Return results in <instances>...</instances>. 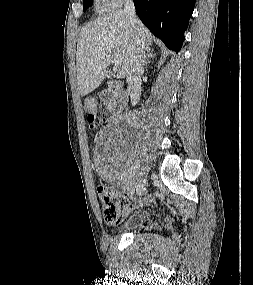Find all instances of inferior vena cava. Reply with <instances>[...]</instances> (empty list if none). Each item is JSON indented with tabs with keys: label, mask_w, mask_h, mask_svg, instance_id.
Returning <instances> with one entry per match:
<instances>
[{
	"label": "inferior vena cava",
	"mask_w": 253,
	"mask_h": 285,
	"mask_svg": "<svg viewBox=\"0 0 253 285\" xmlns=\"http://www.w3.org/2000/svg\"><path fill=\"white\" fill-rule=\"evenodd\" d=\"M124 13L131 24L135 39L126 71L128 92L132 105H136L141 96V75L144 70L145 47L141 37V22L138 20L133 0H126Z\"/></svg>",
	"instance_id": "inferior-vena-cava-1"
}]
</instances>
